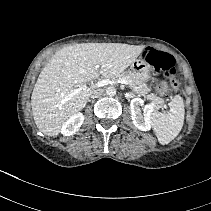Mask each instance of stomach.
Segmentation results:
<instances>
[{"mask_svg": "<svg viewBox=\"0 0 211 211\" xmlns=\"http://www.w3.org/2000/svg\"><path fill=\"white\" fill-rule=\"evenodd\" d=\"M130 71L142 82L148 81L151 77L150 66L143 57L131 64Z\"/></svg>", "mask_w": 211, "mask_h": 211, "instance_id": "stomach-1", "label": "stomach"}]
</instances>
